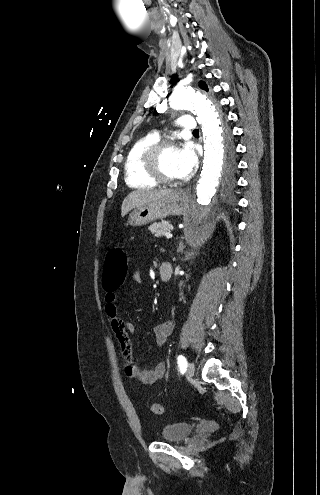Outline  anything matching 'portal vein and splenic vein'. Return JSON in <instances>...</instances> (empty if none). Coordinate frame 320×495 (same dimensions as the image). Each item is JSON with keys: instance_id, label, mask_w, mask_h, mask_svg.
Here are the masks:
<instances>
[{"instance_id": "18ae733b", "label": "portal vein and splenic vein", "mask_w": 320, "mask_h": 495, "mask_svg": "<svg viewBox=\"0 0 320 495\" xmlns=\"http://www.w3.org/2000/svg\"><path fill=\"white\" fill-rule=\"evenodd\" d=\"M173 235L171 233L166 235V238H171Z\"/></svg>"}]
</instances>
